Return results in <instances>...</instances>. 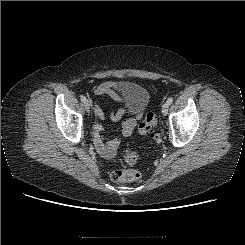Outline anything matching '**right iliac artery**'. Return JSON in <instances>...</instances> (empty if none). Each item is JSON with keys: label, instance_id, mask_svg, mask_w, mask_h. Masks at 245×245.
<instances>
[{"label": "right iliac artery", "instance_id": "1", "mask_svg": "<svg viewBox=\"0 0 245 245\" xmlns=\"http://www.w3.org/2000/svg\"><path fill=\"white\" fill-rule=\"evenodd\" d=\"M80 99H81V101H82L83 103H85V102L87 101L86 97L83 96V95L80 96Z\"/></svg>", "mask_w": 245, "mask_h": 245}]
</instances>
